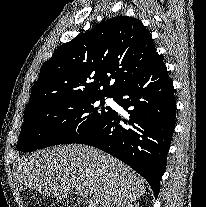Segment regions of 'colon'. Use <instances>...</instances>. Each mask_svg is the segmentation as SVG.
Listing matches in <instances>:
<instances>
[{
  "mask_svg": "<svg viewBox=\"0 0 206 207\" xmlns=\"http://www.w3.org/2000/svg\"><path fill=\"white\" fill-rule=\"evenodd\" d=\"M53 207H81V206L74 203H67V204H55Z\"/></svg>",
  "mask_w": 206,
  "mask_h": 207,
  "instance_id": "obj_1",
  "label": "colon"
}]
</instances>
